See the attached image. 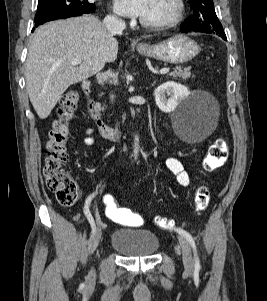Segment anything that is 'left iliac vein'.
I'll return each instance as SVG.
<instances>
[{"instance_id":"left-iliac-vein-1","label":"left iliac vein","mask_w":267,"mask_h":301,"mask_svg":"<svg viewBox=\"0 0 267 301\" xmlns=\"http://www.w3.org/2000/svg\"><path fill=\"white\" fill-rule=\"evenodd\" d=\"M178 241L182 249V260L184 267L188 272H191L193 271L194 263L190 244L182 234L178 235Z\"/></svg>"}]
</instances>
